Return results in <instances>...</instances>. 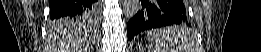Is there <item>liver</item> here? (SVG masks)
<instances>
[{"instance_id":"obj_1","label":"liver","mask_w":261,"mask_h":52,"mask_svg":"<svg viewBox=\"0 0 261 52\" xmlns=\"http://www.w3.org/2000/svg\"><path fill=\"white\" fill-rule=\"evenodd\" d=\"M74 27L73 25L61 26L52 25L49 31V36L52 39L53 44H57L60 50H67L66 52H83L82 43L84 42V37L73 38ZM76 34V31L75 33ZM80 36H86L79 32ZM62 52V51H61ZM85 52V51H84Z\"/></svg>"}]
</instances>
